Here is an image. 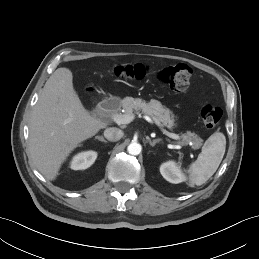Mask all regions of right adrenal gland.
Instances as JSON below:
<instances>
[{
    "label": "right adrenal gland",
    "instance_id": "obj_1",
    "mask_svg": "<svg viewBox=\"0 0 259 259\" xmlns=\"http://www.w3.org/2000/svg\"><path fill=\"white\" fill-rule=\"evenodd\" d=\"M95 139H98L99 141H102L104 143H107L108 141L104 139L103 136H96Z\"/></svg>",
    "mask_w": 259,
    "mask_h": 259
}]
</instances>
